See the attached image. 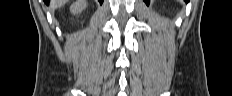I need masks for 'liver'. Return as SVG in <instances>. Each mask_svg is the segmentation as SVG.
I'll list each match as a JSON object with an SVG mask.
<instances>
[{"mask_svg":"<svg viewBox=\"0 0 232 96\" xmlns=\"http://www.w3.org/2000/svg\"><path fill=\"white\" fill-rule=\"evenodd\" d=\"M68 0H51L50 6L52 9H57L63 6Z\"/></svg>","mask_w":232,"mask_h":96,"instance_id":"6515ba94","label":"liver"}]
</instances>
